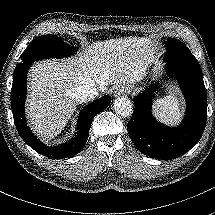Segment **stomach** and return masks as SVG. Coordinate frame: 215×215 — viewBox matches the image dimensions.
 Returning a JSON list of instances; mask_svg holds the SVG:
<instances>
[{"instance_id":"stomach-1","label":"stomach","mask_w":215,"mask_h":215,"mask_svg":"<svg viewBox=\"0 0 215 215\" xmlns=\"http://www.w3.org/2000/svg\"><path fill=\"white\" fill-rule=\"evenodd\" d=\"M150 66H152V65H149L148 68H149ZM119 89L125 90L126 93H128L129 90H130V87L123 84V85L121 86V88H119ZM119 89H117V90H119Z\"/></svg>"}]
</instances>
